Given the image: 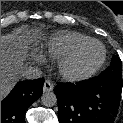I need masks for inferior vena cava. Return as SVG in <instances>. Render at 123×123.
<instances>
[{
    "label": "inferior vena cava",
    "mask_w": 123,
    "mask_h": 123,
    "mask_svg": "<svg viewBox=\"0 0 123 123\" xmlns=\"http://www.w3.org/2000/svg\"><path fill=\"white\" fill-rule=\"evenodd\" d=\"M42 75V71L40 68L36 67V66H29L26 67L24 69V71L22 72V76L26 79H37L40 78Z\"/></svg>",
    "instance_id": "obj_1"
}]
</instances>
